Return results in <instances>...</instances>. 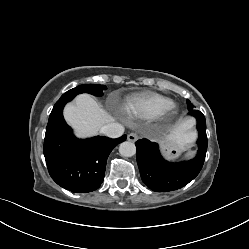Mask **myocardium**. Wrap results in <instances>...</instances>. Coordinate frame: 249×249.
Returning <instances> with one entry per match:
<instances>
[{
    "mask_svg": "<svg viewBox=\"0 0 249 249\" xmlns=\"http://www.w3.org/2000/svg\"><path fill=\"white\" fill-rule=\"evenodd\" d=\"M174 111H175V106L172 105V106H170L169 108H167L165 111H163V112L160 114V116H161V115H170V114L174 113Z\"/></svg>",
    "mask_w": 249,
    "mask_h": 249,
    "instance_id": "obj_1",
    "label": "myocardium"
}]
</instances>
